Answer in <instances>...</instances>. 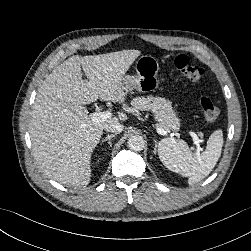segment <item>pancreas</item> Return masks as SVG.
Returning a JSON list of instances; mask_svg holds the SVG:
<instances>
[{
	"mask_svg": "<svg viewBox=\"0 0 251 251\" xmlns=\"http://www.w3.org/2000/svg\"><path fill=\"white\" fill-rule=\"evenodd\" d=\"M134 110L152 111L157 120L158 126L167 132L178 131L180 128V120L173 111L171 102L161 97L148 96L136 97L131 101Z\"/></svg>",
	"mask_w": 251,
	"mask_h": 251,
	"instance_id": "1",
	"label": "pancreas"
}]
</instances>
